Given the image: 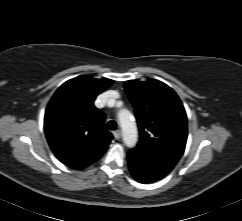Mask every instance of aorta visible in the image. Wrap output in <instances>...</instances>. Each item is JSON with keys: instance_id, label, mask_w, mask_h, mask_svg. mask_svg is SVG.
Segmentation results:
<instances>
[{"instance_id": "1", "label": "aorta", "mask_w": 242, "mask_h": 221, "mask_svg": "<svg viewBox=\"0 0 242 221\" xmlns=\"http://www.w3.org/2000/svg\"><path fill=\"white\" fill-rule=\"evenodd\" d=\"M118 120L125 145L130 148L134 147L138 140V132L131 113L126 109L121 110L118 113Z\"/></svg>"}]
</instances>
